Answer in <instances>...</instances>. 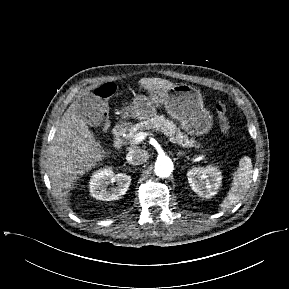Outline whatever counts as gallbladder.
<instances>
[{
	"label": "gallbladder",
	"instance_id": "obj_1",
	"mask_svg": "<svg viewBox=\"0 0 289 289\" xmlns=\"http://www.w3.org/2000/svg\"><path fill=\"white\" fill-rule=\"evenodd\" d=\"M77 110L85 122L93 127L101 126L103 110L92 93H86L77 100Z\"/></svg>",
	"mask_w": 289,
	"mask_h": 289
}]
</instances>
